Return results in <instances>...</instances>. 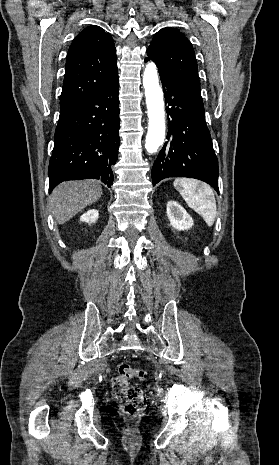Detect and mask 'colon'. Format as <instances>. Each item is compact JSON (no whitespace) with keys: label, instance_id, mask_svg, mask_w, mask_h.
I'll use <instances>...</instances> for the list:
<instances>
[{"label":"colon","instance_id":"1","mask_svg":"<svg viewBox=\"0 0 279 465\" xmlns=\"http://www.w3.org/2000/svg\"><path fill=\"white\" fill-rule=\"evenodd\" d=\"M134 378L142 381L146 378V372L127 363H121L118 375L113 380L114 396L121 410L129 416L140 414L147 405L144 392L139 387L130 385V380Z\"/></svg>","mask_w":279,"mask_h":465}]
</instances>
